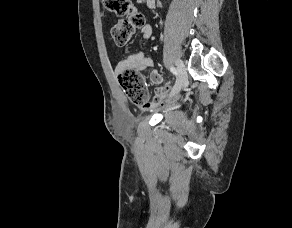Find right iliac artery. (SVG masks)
Wrapping results in <instances>:
<instances>
[{
	"mask_svg": "<svg viewBox=\"0 0 292 228\" xmlns=\"http://www.w3.org/2000/svg\"><path fill=\"white\" fill-rule=\"evenodd\" d=\"M170 71L174 74V75H178V70L175 67H170Z\"/></svg>",
	"mask_w": 292,
	"mask_h": 228,
	"instance_id": "right-iliac-artery-1",
	"label": "right iliac artery"
}]
</instances>
